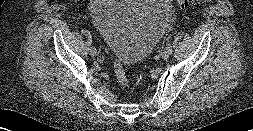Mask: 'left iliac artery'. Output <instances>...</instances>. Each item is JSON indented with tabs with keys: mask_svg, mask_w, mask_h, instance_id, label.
<instances>
[{
	"mask_svg": "<svg viewBox=\"0 0 253 131\" xmlns=\"http://www.w3.org/2000/svg\"><path fill=\"white\" fill-rule=\"evenodd\" d=\"M166 47L171 48V43L169 41L167 42Z\"/></svg>",
	"mask_w": 253,
	"mask_h": 131,
	"instance_id": "left-iliac-artery-1",
	"label": "left iliac artery"
}]
</instances>
